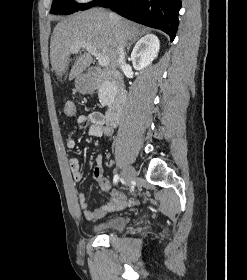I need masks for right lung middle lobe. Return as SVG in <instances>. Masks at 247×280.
Returning <instances> with one entry per match:
<instances>
[{"label": "right lung middle lobe", "instance_id": "dd1d6c3e", "mask_svg": "<svg viewBox=\"0 0 247 280\" xmlns=\"http://www.w3.org/2000/svg\"><path fill=\"white\" fill-rule=\"evenodd\" d=\"M101 0H94L87 4L71 3V0H54L51 7L52 14H71L79 10H86L97 5Z\"/></svg>", "mask_w": 247, "mask_h": 280}]
</instances>
